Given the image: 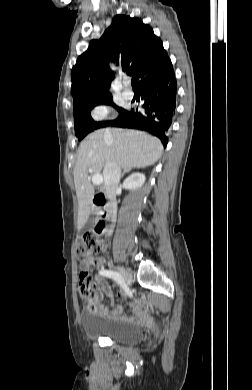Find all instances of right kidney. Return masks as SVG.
Masks as SVG:
<instances>
[{
  "instance_id": "right-kidney-1",
  "label": "right kidney",
  "mask_w": 252,
  "mask_h": 390,
  "mask_svg": "<svg viewBox=\"0 0 252 390\" xmlns=\"http://www.w3.org/2000/svg\"><path fill=\"white\" fill-rule=\"evenodd\" d=\"M145 179L146 178L144 174L139 172L133 173L125 179V181L123 182V188L127 190L138 189L142 187L145 182Z\"/></svg>"
}]
</instances>
